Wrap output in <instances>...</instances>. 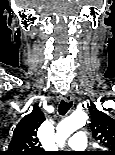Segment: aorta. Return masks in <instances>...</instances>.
Returning <instances> with one entry per match:
<instances>
[{
    "instance_id": "obj_1",
    "label": "aorta",
    "mask_w": 115,
    "mask_h": 155,
    "mask_svg": "<svg viewBox=\"0 0 115 155\" xmlns=\"http://www.w3.org/2000/svg\"><path fill=\"white\" fill-rule=\"evenodd\" d=\"M87 114L83 111H78L62 120L56 130V142L60 147H63L66 139L76 130L86 124Z\"/></svg>"
}]
</instances>
